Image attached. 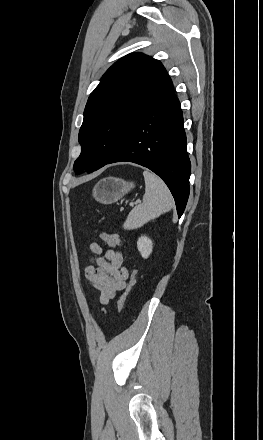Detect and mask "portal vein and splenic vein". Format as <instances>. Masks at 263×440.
Masks as SVG:
<instances>
[{
  "instance_id": "portal-vein-and-splenic-vein-1",
  "label": "portal vein and splenic vein",
  "mask_w": 263,
  "mask_h": 440,
  "mask_svg": "<svg viewBox=\"0 0 263 440\" xmlns=\"http://www.w3.org/2000/svg\"><path fill=\"white\" fill-rule=\"evenodd\" d=\"M139 203H141V201L137 200L135 203H130V206H134L135 204H139Z\"/></svg>"
}]
</instances>
